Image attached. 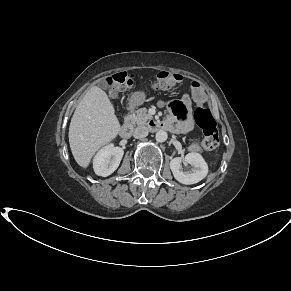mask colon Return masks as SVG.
I'll list each match as a JSON object with an SVG mask.
<instances>
[{
	"label": "colon",
	"mask_w": 291,
	"mask_h": 291,
	"mask_svg": "<svg viewBox=\"0 0 291 291\" xmlns=\"http://www.w3.org/2000/svg\"><path fill=\"white\" fill-rule=\"evenodd\" d=\"M181 79L182 76L178 73L160 71L154 76V86L158 90H167L173 87ZM133 84V75L126 72L116 73L109 77L105 82V86L111 91L112 94H116L118 90L129 89ZM193 86L194 97L198 102H202L204 100V93L200 84L194 83ZM173 108L177 112L178 116H183L184 109L179 103H173ZM194 119L202 130L203 136L201 139L196 140L191 144V150H216L219 145V131L211 111L207 108L199 107L195 111Z\"/></svg>",
	"instance_id": "obj_1"
}]
</instances>
